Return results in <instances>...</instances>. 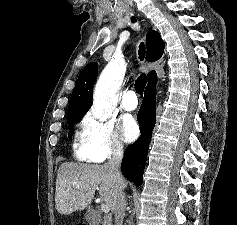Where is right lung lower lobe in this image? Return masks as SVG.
Instances as JSON below:
<instances>
[{
	"mask_svg": "<svg viewBox=\"0 0 237 225\" xmlns=\"http://www.w3.org/2000/svg\"><path fill=\"white\" fill-rule=\"evenodd\" d=\"M155 103L156 83H151L145 88L143 103L137 115L141 136L133 145L126 148L121 165L123 175L137 186L142 184L144 167L147 160V149L155 125Z\"/></svg>",
	"mask_w": 237,
	"mask_h": 225,
	"instance_id": "right-lung-lower-lobe-1",
	"label": "right lung lower lobe"
}]
</instances>
